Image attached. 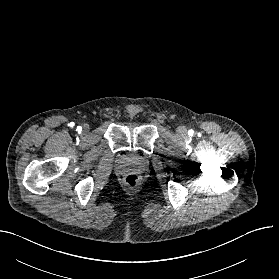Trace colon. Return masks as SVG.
Instances as JSON below:
<instances>
[{
	"label": "colon",
	"mask_w": 279,
	"mask_h": 279,
	"mask_svg": "<svg viewBox=\"0 0 279 279\" xmlns=\"http://www.w3.org/2000/svg\"><path fill=\"white\" fill-rule=\"evenodd\" d=\"M140 177L135 173H130L124 178V183L129 187H135L138 185Z\"/></svg>",
	"instance_id": "5ec220e1"
}]
</instances>
